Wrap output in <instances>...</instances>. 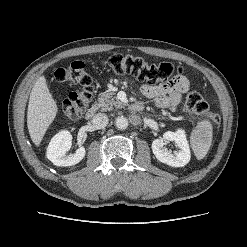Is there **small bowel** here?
Segmentation results:
<instances>
[{"mask_svg": "<svg viewBox=\"0 0 247 247\" xmlns=\"http://www.w3.org/2000/svg\"><path fill=\"white\" fill-rule=\"evenodd\" d=\"M188 88V79L183 75H177L159 85L144 84L141 92L146 98L153 99L157 108H169L174 111Z\"/></svg>", "mask_w": 247, "mask_h": 247, "instance_id": "obj_1", "label": "small bowel"}]
</instances>
